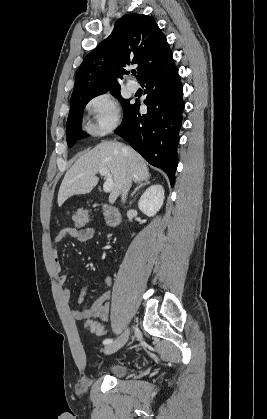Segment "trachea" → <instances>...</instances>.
Segmentation results:
<instances>
[{
  "instance_id": "1",
  "label": "trachea",
  "mask_w": 267,
  "mask_h": 419,
  "mask_svg": "<svg viewBox=\"0 0 267 419\" xmlns=\"http://www.w3.org/2000/svg\"><path fill=\"white\" fill-rule=\"evenodd\" d=\"M133 75H136V72H132Z\"/></svg>"
}]
</instances>
